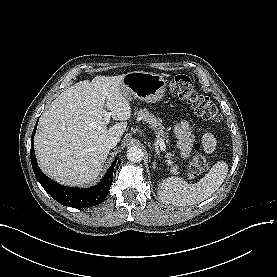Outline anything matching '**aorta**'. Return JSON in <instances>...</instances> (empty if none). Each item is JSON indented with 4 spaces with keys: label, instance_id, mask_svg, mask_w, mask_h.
<instances>
[{
    "label": "aorta",
    "instance_id": "762f6f07",
    "mask_svg": "<svg viewBox=\"0 0 277 277\" xmlns=\"http://www.w3.org/2000/svg\"><path fill=\"white\" fill-rule=\"evenodd\" d=\"M127 159L131 162H140L143 159L144 152L140 146H132L126 152Z\"/></svg>",
    "mask_w": 277,
    "mask_h": 277
}]
</instances>
